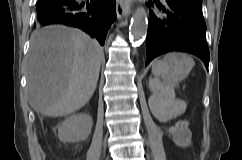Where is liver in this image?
I'll list each match as a JSON object with an SVG mask.
<instances>
[{"label": "liver", "mask_w": 242, "mask_h": 160, "mask_svg": "<svg viewBox=\"0 0 242 160\" xmlns=\"http://www.w3.org/2000/svg\"><path fill=\"white\" fill-rule=\"evenodd\" d=\"M27 56L30 106L48 117L81 109L92 97L99 78L103 48L81 30L49 27L31 36Z\"/></svg>", "instance_id": "liver-1"}]
</instances>
